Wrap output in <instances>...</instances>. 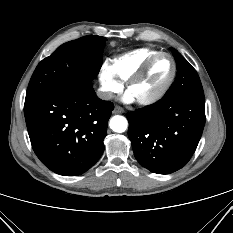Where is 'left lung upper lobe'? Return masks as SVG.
<instances>
[{"mask_svg": "<svg viewBox=\"0 0 233 233\" xmlns=\"http://www.w3.org/2000/svg\"><path fill=\"white\" fill-rule=\"evenodd\" d=\"M177 64V75L174 83L163 98L180 96L204 97L201 81L196 70L174 48H171Z\"/></svg>", "mask_w": 233, "mask_h": 233, "instance_id": "obj_1", "label": "left lung upper lobe"}]
</instances>
